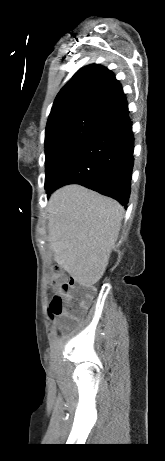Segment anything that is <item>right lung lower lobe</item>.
<instances>
[{"label":"right lung lower lobe","instance_id":"right-lung-lower-lobe-1","mask_svg":"<svg viewBox=\"0 0 165 461\" xmlns=\"http://www.w3.org/2000/svg\"><path fill=\"white\" fill-rule=\"evenodd\" d=\"M134 136L128 108L105 120L68 158L45 186L49 196L67 184H80L127 207L134 163Z\"/></svg>","mask_w":165,"mask_h":461}]
</instances>
